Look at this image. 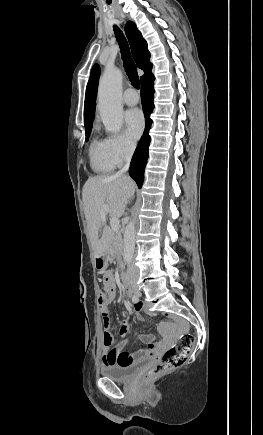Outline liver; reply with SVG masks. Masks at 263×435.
Here are the masks:
<instances>
[{
    "instance_id": "1",
    "label": "liver",
    "mask_w": 263,
    "mask_h": 435,
    "mask_svg": "<svg viewBox=\"0 0 263 435\" xmlns=\"http://www.w3.org/2000/svg\"><path fill=\"white\" fill-rule=\"evenodd\" d=\"M133 180L124 175L95 176L88 178L82 190V199L89 238L94 256L98 257L109 252L113 241V232L101 219L102 206L109 207L111 217L120 218L134 191ZM102 234L99 236V231Z\"/></svg>"
}]
</instances>
